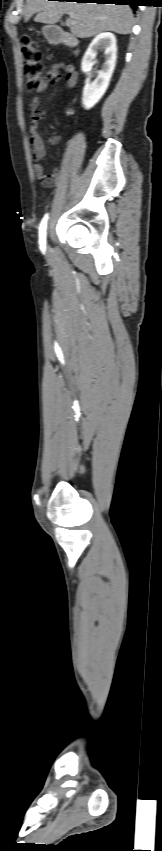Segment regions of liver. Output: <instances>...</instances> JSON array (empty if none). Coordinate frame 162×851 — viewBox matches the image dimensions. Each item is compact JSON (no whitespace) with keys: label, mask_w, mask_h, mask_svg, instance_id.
<instances>
[{"label":"liver","mask_w":162,"mask_h":851,"mask_svg":"<svg viewBox=\"0 0 162 851\" xmlns=\"http://www.w3.org/2000/svg\"><path fill=\"white\" fill-rule=\"evenodd\" d=\"M65 13L72 14L66 19V26L79 38L93 37L105 31L126 35L132 29L130 7L115 4L27 0L25 21L37 14L36 22L55 24Z\"/></svg>","instance_id":"1"}]
</instances>
